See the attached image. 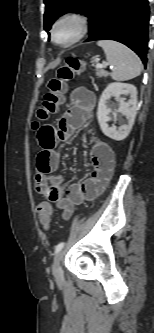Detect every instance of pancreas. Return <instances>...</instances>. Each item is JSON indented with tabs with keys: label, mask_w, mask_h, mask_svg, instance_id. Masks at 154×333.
I'll return each mask as SVG.
<instances>
[{
	"label": "pancreas",
	"mask_w": 154,
	"mask_h": 333,
	"mask_svg": "<svg viewBox=\"0 0 154 333\" xmlns=\"http://www.w3.org/2000/svg\"><path fill=\"white\" fill-rule=\"evenodd\" d=\"M109 75V73L103 69L97 68L96 69V76L97 77H107Z\"/></svg>",
	"instance_id": "pancreas-1"
}]
</instances>
